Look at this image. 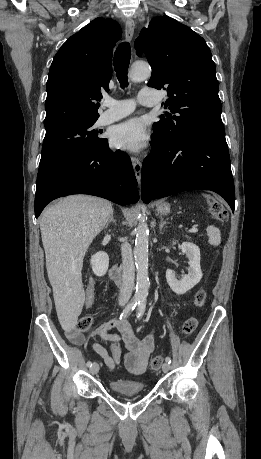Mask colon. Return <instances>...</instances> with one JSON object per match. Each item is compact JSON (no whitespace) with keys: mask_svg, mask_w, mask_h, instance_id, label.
<instances>
[{"mask_svg":"<svg viewBox=\"0 0 261 459\" xmlns=\"http://www.w3.org/2000/svg\"><path fill=\"white\" fill-rule=\"evenodd\" d=\"M208 209L217 221L223 223L228 219V212L225 207L215 198L208 197L207 198ZM206 301V292L203 289H200L196 292L194 298V304L197 307H202ZM92 324V317L90 315H83L79 317L77 323L75 325V330L77 332H85L87 331ZM198 326V319L195 317L187 318L181 328V333L184 336H188L192 334ZM112 353L115 356H120V346L118 343L112 345ZM163 362V358L161 356H156L151 360L150 367L152 370L157 371L160 369Z\"/></svg>","mask_w":261,"mask_h":459,"instance_id":"colon-1","label":"colon"}]
</instances>
